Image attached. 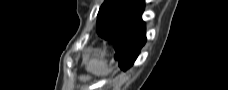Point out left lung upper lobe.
Segmentation results:
<instances>
[{
  "instance_id": "obj_1",
  "label": "left lung upper lobe",
  "mask_w": 228,
  "mask_h": 90,
  "mask_svg": "<svg viewBox=\"0 0 228 90\" xmlns=\"http://www.w3.org/2000/svg\"><path fill=\"white\" fill-rule=\"evenodd\" d=\"M134 0H105L97 15V33L100 35L117 23L119 13L135 11Z\"/></svg>"
}]
</instances>
